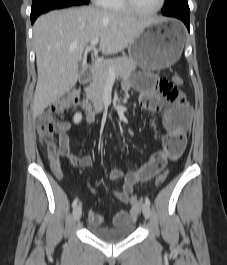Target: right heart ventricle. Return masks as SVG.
Returning a JSON list of instances; mask_svg holds the SVG:
<instances>
[{"instance_id":"e07e8e85","label":"right heart ventricle","mask_w":227,"mask_h":265,"mask_svg":"<svg viewBox=\"0 0 227 265\" xmlns=\"http://www.w3.org/2000/svg\"><path fill=\"white\" fill-rule=\"evenodd\" d=\"M101 6L111 12L130 13L123 0H103Z\"/></svg>"}]
</instances>
